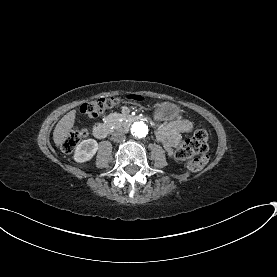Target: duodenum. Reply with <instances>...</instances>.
<instances>
[{
  "label": "duodenum",
  "instance_id": "1",
  "mask_svg": "<svg viewBox=\"0 0 277 277\" xmlns=\"http://www.w3.org/2000/svg\"><path fill=\"white\" fill-rule=\"evenodd\" d=\"M130 120H131L130 118H127L126 120L121 121L117 126L120 129H125L129 125ZM111 129H112V126L110 124L99 123L95 125L93 129V133L97 138H104L107 136V134L110 132Z\"/></svg>",
  "mask_w": 277,
  "mask_h": 277
}]
</instances>
